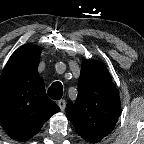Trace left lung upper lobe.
Returning a JSON list of instances; mask_svg holds the SVG:
<instances>
[{
  "mask_svg": "<svg viewBox=\"0 0 144 144\" xmlns=\"http://www.w3.org/2000/svg\"><path fill=\"white\" fill-rule=\"evenodd\" d=\"M120 109L118 91L105 65L85 59L77 99L66 106V115L77 133L90 143L101 141L114 129Z\"/></svg>",
  "mask_w": 144,
  "mask_h": 144,
  "instance_id": "1",
  "label": "left lung upper lobe"
}]
</instances>
